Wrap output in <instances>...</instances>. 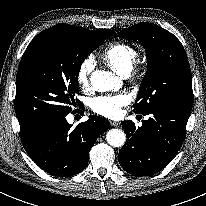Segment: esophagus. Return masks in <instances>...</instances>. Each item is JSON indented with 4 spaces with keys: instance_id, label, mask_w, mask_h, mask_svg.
Masks as SVG:
<instances>
[{
    "instance_id": "34e87169",
    "label": "esophagus",
    "mask_w": 206,
    "mask_h": 206,
    "mask_svg": "<svg viewBox=\"0 0 206 206\" xmlns=\"http://www.w3.org/2000/svg\"><path fill=\"white\" fill-rule=\"evenodd\" d=\"M111 126L117 127L120 123L117 121H110Z\"/></svg>"
}]
</instances>
